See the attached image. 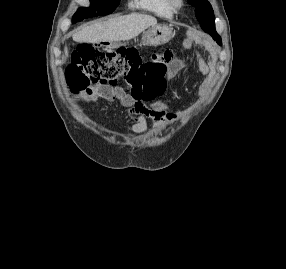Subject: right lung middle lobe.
Wrapping results in <instances>:
<instances>
[{
	"label": "right lung middle lobe",
	"mask_w": 286,
	"mask_h": 269,
	"mask_svg": "<svg viewBox=\"0 0 286 269\" xmlns=\"http://www.w3.org/2000/svg\"><path fill=\"white\" fill-rule=\"evenodd\" d=\"M119 1L120 0H90L92 7L79 8L73 16L72 23L81 21L84 18L110 14L114 11ZM94 9H97L98 12L94 13Z\"/></svg>",
	"instance_id": "right-lung-middle-lobe-1"
}]
</instances>
